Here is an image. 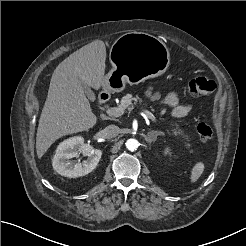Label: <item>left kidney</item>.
<instances>
[{"label": "left kidney", "instance_id": "1", "mask_svg": "<svg viewBox=\"0 0 246 246\" xmlns=\"http://www.w3.org/2000/svg\"><path fill=\"white\" fill-rule=\"evenodd\" d=\"M163 153L165 154V155H170L171 156V149L169 148V147H166L165 149H164V151H163Z\"/></svg>", "mask_w": 246, "mask_h": 246}]
</instances>
